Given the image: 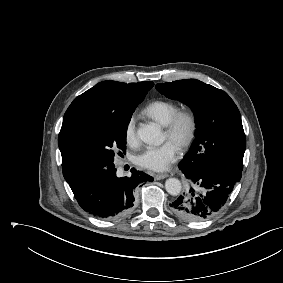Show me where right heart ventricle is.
Masks as SVG:
<instances>
[{
    "mask_svg": "<svg viewBox=\"0 0 283 283\" xmlns=\"http://www.w3.org/2000/svg\"><path fill=\"white\" fill-rule=\"evenodd\" d=\"M178 111L179 107L174 102L155 100L144 108L143 113L160 125L166 127Z\"/></svg>",
    "mask_w": 283,
    "mask_h": 283,
    "instance_id": "obj_1",
    "label": "right heart ventricle"
}]
</instances>
